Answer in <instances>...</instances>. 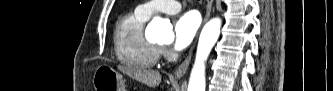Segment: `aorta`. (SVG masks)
<instances>
[{
    "label": "aorta",
    "instance_id": "762f6f07",
    "mask_svg": "<svg viewBox=\"0 0 333 91\" xmlns=\"http://www.w3.org/2000/svg\"><path fill=\"white\" fill-rule=\"evenodd\" d=\"M221 28V19L213 18L202 29L197 46L196 58L191 71L188 91H205V61L216 43ZM147 37L170 41L174 38L169 21L154 17L147 26Z\"/></svg>",
    "mask_w": 333,
    "mask_h": 91
}]
</instances>
